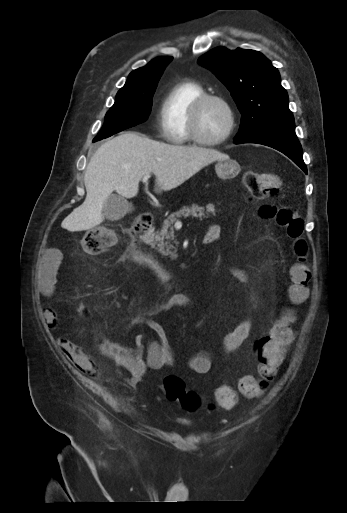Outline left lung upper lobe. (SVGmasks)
I'll return each mask as SVG.
<instances>
[{
    "label": "left lung upper lobe",
    "mask_w": 347,
    "mask_h": 513,
    "mask_svg": "<svg viewBox=\"0 0 347 513\" xmlns=\"http://www.w3.org/2000/svg\"><path fill=\"white\" fill-rule=\"evenodd\" d=\"M198 62L212 70L227 87L242 114L234 140L271 124L294 123L279 72L263 54L218 47L200 57Z\"/></svg>",
    "instance_id": "1"
}]
</instances>
